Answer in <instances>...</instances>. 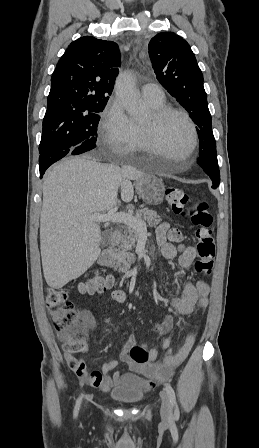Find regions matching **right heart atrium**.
I'll list each match as a JSON object with an SVG mask.
<instances>
[{
	"mask_svg": "<svg viewBox=\"0 0 259 448\" xmlns=\"http://www.w3.org/2000/svg\"><path fill=\"white\" fill-rule=\"evenodd\" d=\"M136 132L121 102L114 98L105 109L98 128V143L103 152L113 157H131L136 148Z\"/></svg>",
	"mask_w": 259,
	"mask_h": 448,
	"instance_id": "1",
	"label": "right heart atrium"
}]
</instances>
